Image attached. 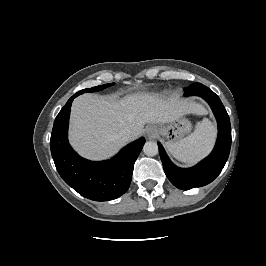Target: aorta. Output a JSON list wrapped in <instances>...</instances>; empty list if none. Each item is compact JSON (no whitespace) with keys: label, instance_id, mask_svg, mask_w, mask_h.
I'll list each match as a JSON object with an SVG mask.
<instances>
[{"label":"aorta","instance_id":"obj_1","mask_svg":"<svg viewBox=\"0 0 266 266\" xmlns=\"http://www.w3.org/2000/svg\"><path fill=\"white\" fill-rule=\"evenodd\" d=\"M143 152L147 156H155L158 153V145L154 141H148L143 146Z\"/></svg>","mask_w":266,"mask_h":266}]
</instances>
